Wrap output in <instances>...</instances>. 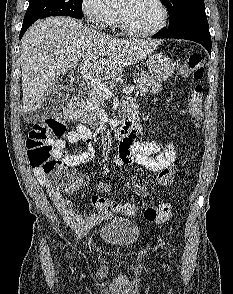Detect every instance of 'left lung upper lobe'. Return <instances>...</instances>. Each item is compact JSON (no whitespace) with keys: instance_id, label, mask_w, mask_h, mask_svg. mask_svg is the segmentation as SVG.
<instances>
[{"instance_id":"left-lung-upper-lobe-1","label":"left lung upper lobe","mask_w":233,"mask_h":294,"mask_svg":"<svg viewBox=\"0 0 233 294\" xmlns=\"http://www.w3.org/2000/svg\"><path fill=\"white\" fill-rule=\"evenodd\" d=\"M161 2L167 7L169 26L189 19H207L204 0H161Z\"/></svg>"}]
</instances>
